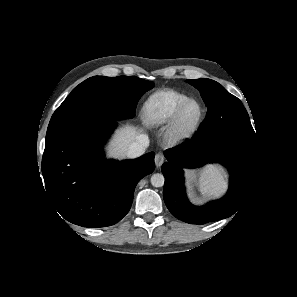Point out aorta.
<instances>
[{
  "mask_svg": "<svg viewBox=\"0 0 297 297\" xmlns=\"http://www.w3.org/2000/svg\"><path fill=\"white\" fill-rule=\"evenodd\" d=\"M164 181V176L160 173H156L151 176V184L154 187H162L164 185Z\"/></svg>",
  "mask_w": 297,
  "mask_h": 297,
  "instance_id": "1",
  "label": "aorta"
}]
</instances>
